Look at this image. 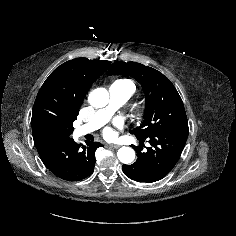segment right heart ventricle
I'll return each instance as SVG.
<instances>
[{
	"mask_svg": "<svg viewBox=\"0 0 236 236\" xmlns=\"http://www.w3.org/2000/svg\"><path fill=\"white\" fill-rule=\"evenodd\" d=\"M117 81H121V82H124V83H127V84L131 85L133 90H134L133 84L130 81H128V80H117Z\"/></svg>",
	"mask_w": 236,
	"mask_h": 236,
	"instance_id": "1",
	"label": "right heart ventricle"
}]
</instances>
